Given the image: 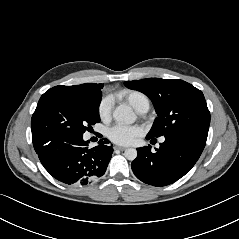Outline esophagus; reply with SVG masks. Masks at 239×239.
<instances>
[{
  "mask_svg": "<svg viewBox=\"0 0 239 239\" xmlns=\"http://www.w3.org/2000/svg\"><path fill=\"white\" fill-rule=\"evenodd\" d=\"M115 149L124 151L126 148L125 147H121V146H115Z\"/></svg>",
  "mask_w": 239,
  "mask_h": 239,
  "instance_id": "esophagus-1",
  "label": "esophagus"
}]
</instances>
